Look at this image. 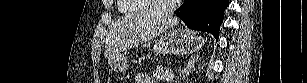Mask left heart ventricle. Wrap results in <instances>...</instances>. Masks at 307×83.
<instances>
[{"label": "left heart ventricle", "mask_w": 307, "mask_h": 83, "mask_svg": "<svg viewBox=\"0 0 307 83\" xmlns=\"http://www.w3.org/2000/svg\"><path fill=\"white\" fill-rule=\"evenodd\" d=\"M172 2V0H158L157 3H158V6L160 7H164L166 6L168 3Z\"/></svg>", "instance_id": "left-heart-ventricle-1"}]
</instances>
